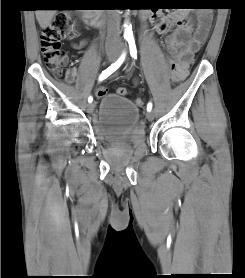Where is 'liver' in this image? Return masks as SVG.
I'll return each instance as SVG.
<instances>
[{
  "instance_id": "obj_1",
  "label": "liver",
  "mask_w": 245,
  "mask_h": 278,
  "mask_svg": "<svg viewBox=\"0 0 245 278\" xmlns=\"http://www.w3.org/2000/svg\"><path fill=\"white\" fill-rule=\"evenodd\" d=\"M35 14L40 27L46 29L56 14V10H37Z\"/></svg>"
}]
</instances>
